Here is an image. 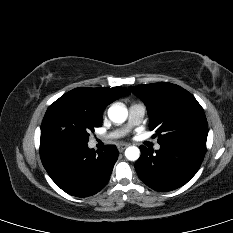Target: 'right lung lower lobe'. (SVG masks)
<instances>
[{
  "label": "right lung lower lobe",
  "mask_w": 233,
  "mask_h": 233,
  "mask_svg": "<svg viewBox=\"0 0 233 233\" xmlns=\"http://www.w3.org/2000/svg\"><path fill=\"white\" fill-rule=\"evenodd\" d=\"M40 157L57 186L70 195L87 197L109 181L118 150L115 145H106L96 152L87 143L44 141L40 142Z\"/></svg>",
  "instance_id": "obj_1"
}]
</instances>
